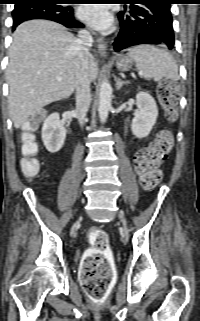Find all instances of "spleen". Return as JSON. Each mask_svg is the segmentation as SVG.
I'll list each match as a JSON object with an SVG mask.
<instances>
[{
    "label": "spleen",
    "instance_id": "1",
    "mask_svg": "<svg viewBox=\"0 0 200 321\" xmlns=\"http://www.w3.org/2000/svg\"><path fill=\"white\" fill-rule=\"evenodd\" d=\"M127 56L135 62L139 75L145 79H180L176 61L165 49L149 44L137 45L128 50Z\"/></svg>",
    "mask_w": 200,
    "mask_h": 321
}]
</instances>
